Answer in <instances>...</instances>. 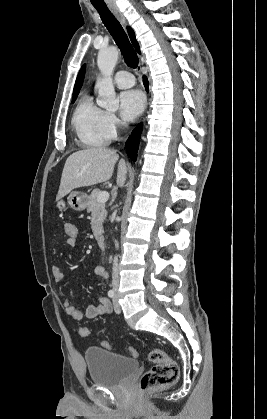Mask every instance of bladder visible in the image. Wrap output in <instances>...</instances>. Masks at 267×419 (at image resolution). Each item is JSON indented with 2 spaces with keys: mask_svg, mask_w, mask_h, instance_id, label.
<instances>
[{
  "mask_svg": "<svg viewBox=\"0 0 267 419\" xmlns=\"http://www.w3.org/2000/svg\"><path fill=\"white\" fill-rule=\"evenodd\" d=\"M85 361L92 383L104 388L122 386L139 369L136 359L96 346L86 349Z\"/></svg>",
  "mask_w": 267,
  "mask_h": 419,
  "instance_id": "31cf9c89",
  "label": "bladder"
}]
</instances>
